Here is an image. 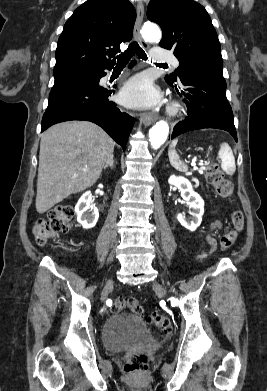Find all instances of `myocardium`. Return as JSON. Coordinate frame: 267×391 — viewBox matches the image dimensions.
Masks as SVG:
<instances>
[{
    "mask_svg": "<svg viewBox=\"0 0 267 391\" xmlns=\"http://www.w3.org/2000/svg\"><path fill=\"white\" fill-rule=\"evenodd\" d=\"M179 110H180L179 105H178V104H175V103L172 104V105H170V106L168 107V111H169V113L172 114V115L177 114V113L179 112Z\"/></svg>",
    "mask_w": 267,
    "mask_h": 391,
    "instance_id": "obj_1",
    "label": "myocardium"
}]
</instances>
